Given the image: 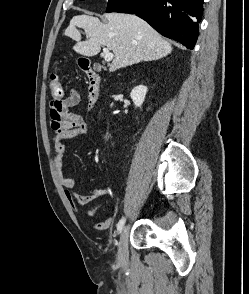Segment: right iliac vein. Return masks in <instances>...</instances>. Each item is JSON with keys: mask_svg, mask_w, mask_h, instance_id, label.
I'll use <instances>...</instances> for the list:
<instances>
[{"mask_svg": "<svg viewBox=\"0 0 249 294\" xmlns=\"http://www.w3.org/2000/svg\"><path fill=\"white\" fill-rule=\"evenodd\" d=\"M129 236V226H124L121 231L120 239H119V248H118V259L121 262L127 261V243Z\"/></svg>", "mask_w": 249, "mask_h": 294, "instance_id": "obj_1", "label": "right iliac vein"}]
</instances>
